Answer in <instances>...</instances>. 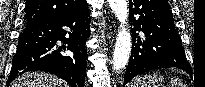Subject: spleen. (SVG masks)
Listing matches in <instances>:
<instances>
[{"label": "spleen", "instance_id": "1", "mask_svg": "<svg viewBox=\"0 0 205 87\" xmlns=\"http://www.w3.org/2000/svg\"><path fill=\"white\" fill-rule=\"evenodd\" d=\"M171 87H185L184 84L182 82H180L178 79L176 78H172L171 79Z\"/></svg>", "mask_w": 205, "mask_h": 87}]
</instances>
